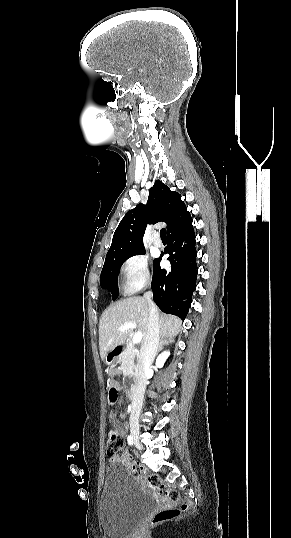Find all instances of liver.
I'll list each match as a JSON object with an SVG mask.
<instances>
[{"instance_id": "liver-1", "label": "liver", "mask_w": 291, "mask_h": 538, "mask_svg": "<svg viewBox=\"0 0 291 538\" xmlns=\"http://www.w3.org/2000/svg\"><path fill=\"white\" fill-rule=\"evenodd\" d=\"M158 311V309H157ZM149 318V305L144 297H128L110 305L101 315L99 322L100 356L104 360L107 352L126 342L133 329L120 331L119 327L128 322L136 324L144 342ZM160 336L172 338L180 332L181 320L176 316L160 314Z\"/></svg>"}]
</instances>
